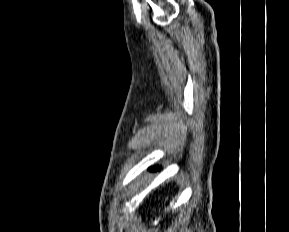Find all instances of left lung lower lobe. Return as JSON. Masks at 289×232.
<instances>
[{
	"label": "left lung lower lobe",
	"mask_w": 289,
	"mask_h": 232,
	"mask_svg": "<svg viewBox=\"0 0 289 232\" xmlns=\"http://www.w3.org/2000/svg\"><path fill=\"white\" fill-rule=\"evenodd\" d=\"M159 169V167H152L150 170L151 171H155V170H158Z\"/></svg>",
	"instance_id": "1"
}]
</instances>
